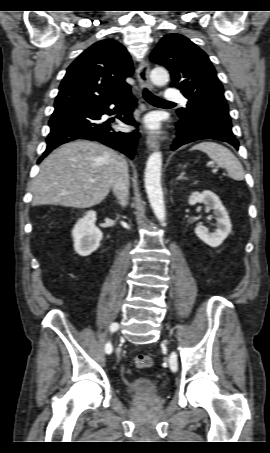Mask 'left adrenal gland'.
Here are the masks:
<instances>
[{
    "mask_svg": "<svg viewBox=\"0 0 270 453\" xmlns=\"http://www.w3.org/2000/svg\"><path fill=\"white\" fill-rule=\"evenodd\" d=\"M184 175H185V172L182 171V172L180 173V175L178 176L177 180H181V179L187 180V177H185Z\"/></svg>",
    "mask_w": 270,
    "mask_h": 453,
    "instance_id": "a2214340",
    "label": "left adrenal gland"
}]
</instances>
